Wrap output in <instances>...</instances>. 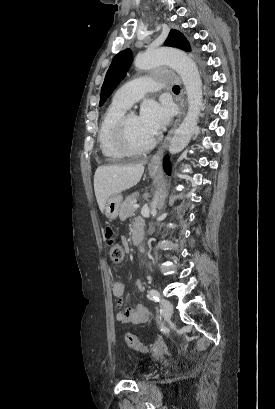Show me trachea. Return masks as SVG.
Listing matches in <instances>:
<instances>
[{"mask_svg": "<svg viewBox=\"0 0 275 409\" xmlns=\"http://www.w3.org/2000/svg\"><path fill=\"white\" fill-rule=\"evenodd\" d=\"M173 91H180V87L179 85H174V87L172 88Z\"/></svg>", "mask_w": 275, "mask_h": 409, "instance_id": "1", "label": "trachea"}]
</instances>
